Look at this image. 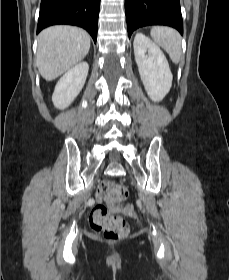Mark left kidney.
I'll return each mask as SVG.
<instances>
[{"label": "left kidney", "instance_id": "obj_1", "mask_svg": "<svg viewBox=\"0 0 229 280\" xmlns=\"http://www.w3.org/2000/svg\"><path fill=\"white\" fill-rule=\"evenodd\" d=\"M134 54L145 90L154 102L168 94L172 86V73L161 49L142 33L134 38Z\"/></svg>", "mask_w": 229, "mask_h": 280}]
</instances>
